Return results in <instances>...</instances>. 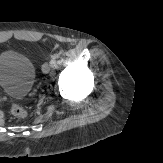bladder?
Instances as JSON below:
<instances>
[{
    "label": "bladder",
    "instance_id": "obj_1",
    "mask_svg": "<svg viewBox=\"0 0 163 163\" xmlns=\"http://www.w3.org/2000/svg\"><path fill=\"white\" fill-rule=\"evenodd\" d=\"M36 68L25 55L14 50L0 53V90L14 98L26 97L33 86Z\"/></svg>",
    "mask_w": 163,
    "mask_h": 163
}]
</instances>
